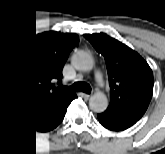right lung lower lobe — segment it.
Instances as JSON below:
<instances>
[{"label": "right lung lower lobe", "mask_w": 165, "mask_h": 154, "mask_svg": "<svg viewBox=\"0 0 165 154\" xmlns=\"http://www.w3.org/2000/svg\"><path fill=\"white\" fill-rule=\"evenodd\" d=\"M75 98L76 94L66 92L18 117L30 130L35 132L50 131L62 123L68 106Z\"/></svg>", "instance_id": "98d812e1"}]
</instances>
